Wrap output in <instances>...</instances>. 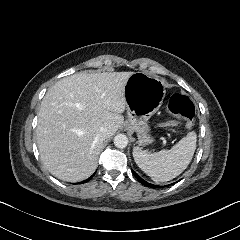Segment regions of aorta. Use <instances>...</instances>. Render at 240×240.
I'll return each instance as SVG.
<instances>
[{
    "instance_id": "aorta-1",
    "label": "aorta",
    "mask_w": 240,
    "mask_h": 240,
    "mask_svg": "<svg viewBox=\"0 0 240 240\" xmlns=\"http://www.w3.org/2000/svg\"><path fill=\"white\" fill-rule=\"evenodd\" d=\"M128 144V138L125 134H117L114 137V145L117 148H124Z\"/></svg>"
}]
</instances>
